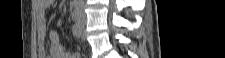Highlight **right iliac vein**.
<instances>
[{
	"instance_id": "63e3f726",
	"label": "right iliac vein",
	"mask_w": 225,
	"mask_h": 58,
	"mask_svg": "<svg viewBox=\"0 0 225 58\" xmlns=\"http://www.w3.org/2000/svg\"><path fill=\"white\" fill-rule=\"evenodd\" d=\"M76 23L80 29L81 34L84 35L85 22L83 20H77Z\"/></svg>"
}]
</instances>
